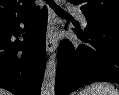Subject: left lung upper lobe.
Listing matches in <instances>:
<instances>
[{
  "label": "left lung upper lobe",
  "mask_w": 119,
  "mask_h": 95,
  "mask_svg": "<svg viewBox=\"0 0 119 95\" xmlns=\"http://www.w3.org/2000/svg\"><path fill=\"white\" fill-rule=\"evenodd\" d=\"M90 21L119 25V0H69Z\"/></svg>",
  "instance_id": "obj_1"
}]
</instances>
